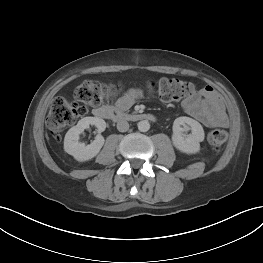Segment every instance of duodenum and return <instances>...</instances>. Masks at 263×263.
Here are the masks:
<instances>
[{
  "label": "duodenum",
  "mask_w": 263,
  "mask_h": 263,
  "mask_svg": "<svg viewBox=\"0 0 263 263\" xmlns=\"http://www.w3.org/2000/svg\"><path fill=\"white\" fill-rule=\"evenodd\" d=\"M94 115L102 119H110L113 121H153L155 117L148 113H125L119 108L108 106L99 107L94 110Z\"/></svg>",
  "instance_id": "duodenum-1"
}]
</instances>
